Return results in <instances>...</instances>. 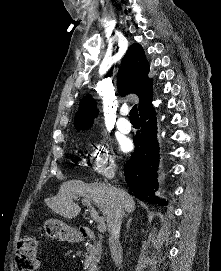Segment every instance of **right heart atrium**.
I'll return each mask as SVG.
<instances>
[{
	"instance_id": "right-heart-atrium-1",
	"label": "right heart atrium",
	"mask_w": 221,
	"mask_h": 271,
	"mask_svg": "<svg viewBox=\"0 0 221 271\" xmlns=\"http://www.w3.org/2000/svg\"><path fill=\"white\" fill-rule=\"evenodd\" d=\"M101 151V153L99 152ZM97 156H109V151H107V146H98V151L95 153ZM107 157H91V167L95 170L101 167H106Z\"/></svg>"
}]
</instances>
